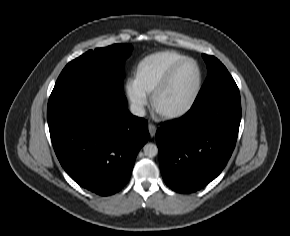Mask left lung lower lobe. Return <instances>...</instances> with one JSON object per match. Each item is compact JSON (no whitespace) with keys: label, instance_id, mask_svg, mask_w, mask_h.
<instances>
[{"label":"left lung lower lobe","instance_id":"left-lung-lower-lobe-1","mask_svg":"<svg viewBox=\"0 0 290 236\" xmlns=\"http://www.w3.org/2000/svg\"><path fill=\"white\" fill-rule=\"evenodd\" d=\"M241 120L237 86L193 104L181 118L156 132L165 183L180 193L195 192L215 179L236 144Z\"/></svg>","mask_w":290,"mask_h":236}]
</instances>
